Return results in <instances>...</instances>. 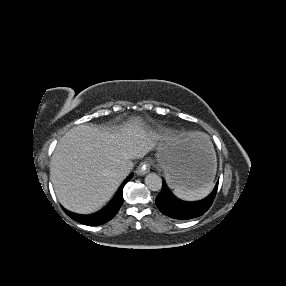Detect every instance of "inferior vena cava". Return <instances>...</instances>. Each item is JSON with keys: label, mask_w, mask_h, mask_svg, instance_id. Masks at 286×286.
<instances>
[{"label": "inferior vena cava", "mask_w": 286, "mask_h": 286, "mask_svg": "<svg viewBox=\"0 0 286 286\" xmlns=\"http://www.w3.org/2000/svg\"><path fill=\"white\" fill-rule=\"evenodd\" d=\"M132 166H133L132 161H124L117 167L116 169L117 175L122 178H125L130 173Z\"/></svg>", "instance_id": "obj_1"}]
</instances>
